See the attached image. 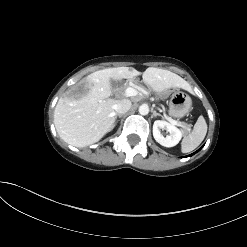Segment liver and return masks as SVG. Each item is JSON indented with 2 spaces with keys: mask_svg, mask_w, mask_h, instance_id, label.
Listing matches in <instances>:
<instances>
[{
  "mask_svg": "<svg viewBox=\"0 0 247 247\" xmlns=\"http://www.w3.org/2000/svg\"><path fill=\"white\" fill-rule=\"evenodd\" d=\"M142 73L134 68L117 67L96 71L82 83L87 93L75 99L68 91L58 100L54 110V124L61 139L75 147H85L98 142L114 128L115 105L110 99V80L132 79ZM143 82L157 93L171 88L190 90V85L168 70L149 67L142 74Z\"/></svg>",
  "mask_w": 247,
  "mask_h": 247,
  "instance_id": "liver-1",
  "label": "liver"
}]
</instances>
